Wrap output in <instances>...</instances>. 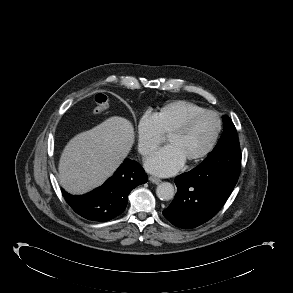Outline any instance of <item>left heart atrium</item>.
Instances as JSON below:
<instances>
[{"label": "left heart atrium", "mask_w": 293, "mask_h": 293, "mask_svg": "<svg viewBox=\"0 0 293 293\" xmlns=\"http://www.w3.org/2000/svg\"><path fill=\"white\" fill-rule=\"evenodd\" d=\"M184 163L178 150L168 145L152 153L145 161V168L158 176H170L179 171Z\"/></svg>", "instance_id": "left-heart-atrium-1"}]
</instances>
